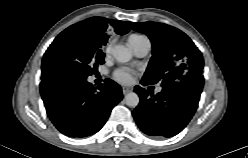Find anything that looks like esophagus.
Returning <instances> with one entry per match:
<instances>
[{
	"label": "esophagus",
	"mask_w": 248,
	"mask_h": 158,
	"mask_svg": "<svg viewBox=\"0 0 248 158\" xmlns=\"http://www.w3.org/2000/svg\"><path fill=\"white\" fill-rule=\"evenodd\" d=\"M131 91H132V89L129 87H122V92L124 95L128 94Z\"/></svg>",
	"instance_id": "esophagus-1"
}]
</instances>
